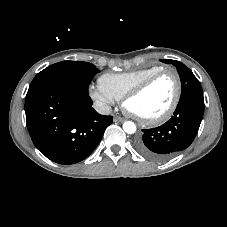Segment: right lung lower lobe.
I'll list each match as a JSON object with an SVG mask.
<instances>
[{
  "label": "right lung lower lobe",
  "mask_w": 227,
  "mask_h": 227,
  "mask_svg": "<svg viewBox=\"0 0 227 227\" xmlns=\"http://www.w3.org/2000/svg\"><path fill=\"white\" fill-rule=\"evenodd\" d=\"M25 113L35 146L51 161L64 165L87 158L113 122L112 116L92 108L85 92L63 85L29 91Z\"/></svg>",
  "instance_id": "right-lung-lower-lobe-1"
}]
</instances>
